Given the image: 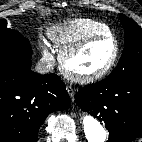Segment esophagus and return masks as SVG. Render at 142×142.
<instances>
[{
    "instance_id": "esophagus-1",
    "label": "esophagus",
    "mask_w": 142,
    "mask_h": 142,
    "mask_svg": "<svg viewBox=\"0 0 142 142\" xmlns=\"http://www.w3.org/2000/svg\"><path fill=\"white\" fill-rule=\"evenodd\" d=\"M66 90H67L69 96L71 97V99H73L74 95H75V92H74L73 88L71 86H67Z\"/></svg>"
}]
</instances>
